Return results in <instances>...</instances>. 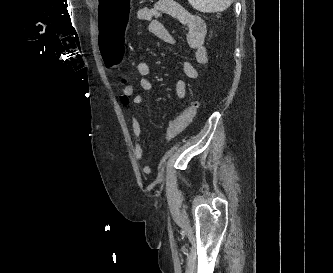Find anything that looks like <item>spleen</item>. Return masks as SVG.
<instances>
[{
    "mask_svg": "<svg viewBox=\"0 0 333 273\" xmlns=\"http://www.w3.org/2000/svg\"><path fill=\"white\" fill-rule=\"evenodd\" d=\"M193 8L200 12L212 13L226 10L233 0H188Z\"/></svg>",
    "mask_w": 333,
    "mask_h": 273,
    "instance_id": "spleen-1",
    "label": "spleen"
}]
</instances>
